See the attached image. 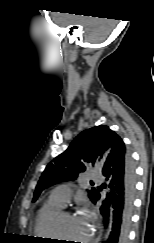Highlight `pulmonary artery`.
<instances>
[{
  "label": "pulmonary artery",
  "mask_w": 154,
  "mask_h": 243,
  "mask_svg": "<svg viewBox=\"0 0 154 243\" xmlns=\"http://www.w3.org/2000/svg\"><path fill=\"white\" fill-rule=\"evenodd\" d=\"M89 180L100 182V176L96 173L90 172L87 174ZM72 196V190L69 185H60L54 188L50 194L49 200L65 207L70 201Z\"/></svg>",
  "instance_id": "obj_1"
}]
</instances>
